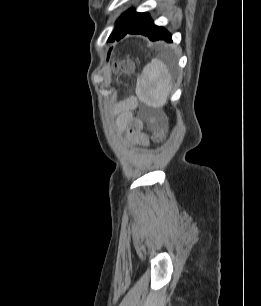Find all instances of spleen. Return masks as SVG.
I'll return each instance as SVG.
<instances>
[{
  "label": "spleen",
  "instance_id": "3e777b00",
  "mask_svg": "<svg viewBox=\"0 0 261 306\" xmlns=\"http://www.w3.org/2000/svg\"><path fill=\"white\" fill-rule=\"evenodd\" d=\"M172 86V76L165 63L153 58L137 79L136 94L146 105L160 108L166 104Z\"/></svg>",
  "mask_w": 261,
  "mask_h": 306
}]
</instances>
